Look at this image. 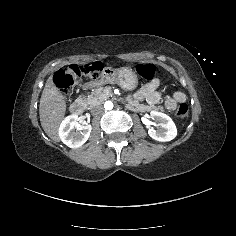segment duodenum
Returning a JSON list of instances; mask_svg holds the SVG:
<instances>
[{
  "instance_id": "duodenum-1",
  "label": "duodenum",
  "mask_w": 236,
  "mask_h": 236,
  "mask_svg": "<svg viewBox=\"0 0 236 236\" xmlns=\"http://www.w3.org/2000/svg\"><path fill=\"white\" fill-rule=\"evenodd\" d=\"M93 85H94L93 83H87L84 85V87L90 88ZM84 110H85V103L81 99H77V100L73 101L70 105V111H71V113H73L75 115L82 114L84 112Z\"/></svg>"
}]
</instances>
